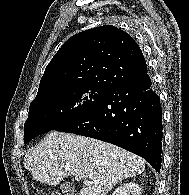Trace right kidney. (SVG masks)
<instances>
[{"label": "right kidney", "instance_id": "right-kidney-1", "mask_svg": "<svg viewBox=\"0 0 189 195\" xmlns=\"http://www.w3.org/2000/svg\"><path fill=\"white\" fill-rule=\"evenodd\" d=\"M112 195H141V188L134 182L119 186Z\"/></svg>", "mask_w": 189, "mask_h": 195}]
</instances>
